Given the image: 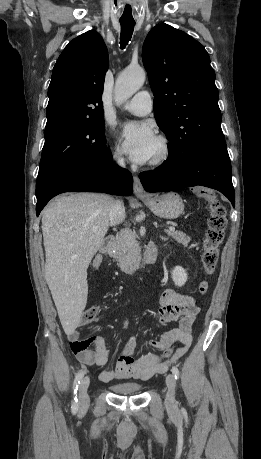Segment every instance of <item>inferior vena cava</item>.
<instances>
[{
	"label": "inferior vena cava",
	"instance_id": "602c4592",
	"mask_svg": "<svg viewBox=\"0 0 261 459\" xmlns=\"http://www.w3.org/2000/svg\"><path fill=\"white\" fill-rule=\"evenodd\" d=\"M119 164L124 166L123 160H119ZM110 224L116 225L125 220V208L122 200H113L110 207Z\"/></svg>",
	"mask_w": 261,
	"mask_h": 459
}]
</instances>
